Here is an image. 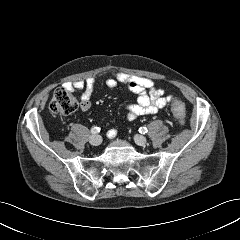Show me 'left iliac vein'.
I'll return each mask as SVG.
<instances>
[{
    "label": "left iliac vein",
    "mask_w": 240,
    "mask_h": 240,
    "mask_svg": "<svg viewBox=\"0 0 240 240\" xmlns=\"http://www.w3.org/2000/svg\"><path fill=\"white\" fill-rule=\"evenodd\" d=\"M134 141L137 145L144 146L147 142V139H146V137H144L142 135H135L134 136Z\"/></svg>",
    "instance_id": "left-iliac-vein-1"
}]
</instances>
